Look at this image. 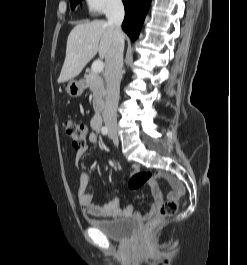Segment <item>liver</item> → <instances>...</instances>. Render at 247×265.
<instances>
[{"label": "liver", "instance_id": "liver-1", "mask_svg": "<svg viewBox=\"0 0 247 265\" xmlns=\"http://www.w3.org/2000/svg\"><path fill=\"white\" fill-rule=\"evenodd\" d=\"M113 32V26L103 20L76 25L67 39L66 57L58 83L78 76L97 52L101 59L106 58L112 45Z\"/></svg>", "mask_w": 247, "mask_h": 265}]
</instances>
